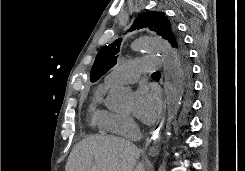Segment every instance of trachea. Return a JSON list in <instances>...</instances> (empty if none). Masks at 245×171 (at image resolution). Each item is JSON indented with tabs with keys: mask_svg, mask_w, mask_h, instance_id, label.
<instances>
[{
	"mask_svg": "<svg viewBox=\"0 0 245 171\" xmlns=\"http://www.w3.org/2000/svg\"><path fill=\"white\" fill-rule=\"evenodd\" d=\"M160 72H154L152 75L155 76V75H159Z\"/></svg>",
	"mask_w": 245,
	"mask_h": 171,
	"instance_id": "trachea-1",
	"label": "trachea"
}]
</instances>
